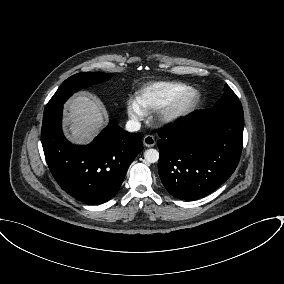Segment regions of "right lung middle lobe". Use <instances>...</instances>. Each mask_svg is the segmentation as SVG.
<instances>
[{"label": "right lung middle lobe", "mask_w": 284, "mask_h": 284, "mask_svg": "<svg viewBox=\"0 0 284 284\" xmlns=\"http://www.w3.org/2000/svg\"><path fill=\"white\" fill-rule=\"evenodd\" d=\"M111 76L112 74H105L101 72L97 73L86 72V73H78L69 77L63 82V84L58 88L56 93L47 103L46 108L44 110V115L62 106L65 103V101L78 90L93 84L103 82Z\"/></svg>", "instance_id": "dd1d6c3e"}]
</instances>
